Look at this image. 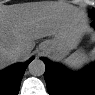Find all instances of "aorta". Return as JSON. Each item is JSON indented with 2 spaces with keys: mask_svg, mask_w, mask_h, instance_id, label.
Returning <instances> with one entry per match:
<instances>
[{
  "mask_svg": "<svg viewBox=\"0 0 95 95\" xmlns=\"http://www.w3.org/2000/svg\"><path fill=\"white\" fill-rule=\"evenodd\" d=\"M29 72L33 76H41L45 72V63L40 59H34L28 66Z\"/></svg>",
  "mask_w": 95,
  "mask_h": 95,
  "instance_id": "762f6f07",
  "label": "aorta"
}]
</instances>
